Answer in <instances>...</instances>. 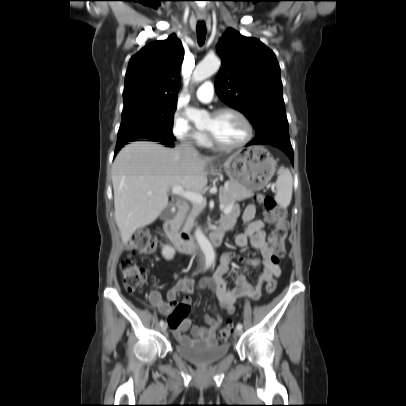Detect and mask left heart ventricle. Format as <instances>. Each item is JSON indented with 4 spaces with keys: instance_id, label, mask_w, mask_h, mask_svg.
Here are the masks:
<instances>
[{
    "instance_id": "b2bd125f",
    "label": "left heart ventricle",
    "mask_w": 406,
    "mask_h": 406,
    "mask_svg": "<svg viewBox=\"0 0 406 406\" xmlns=\"http://www.w3.org/2000/svg\"><path fill=\"white\" fill-rule=\"evenodd\" d=\"M204 129L212 132L225 144H236L246 135L244 123L233 113H224L219 116L211 115Z\"/></svg>"
}]
</instances>
